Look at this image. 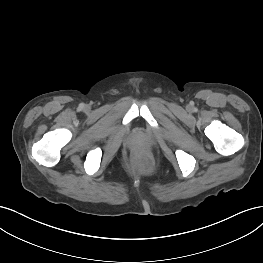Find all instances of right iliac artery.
<instances>
[{
  "mask_svg": "<svg viewBox=\"0 0 263 263\" xmlns=\"http://www.w3.org/2000/svg\"><path fill=\"white\" fill-rule=\"evenodd\" d=\"M79 107H80V109H82L83 108V104H81Z\"/></svg>",
  "mask_w": 263,
  "mask_h": 263,
  "instance_id": "obj_1",
  "label": "right iliac artery"
}]
</instances>
